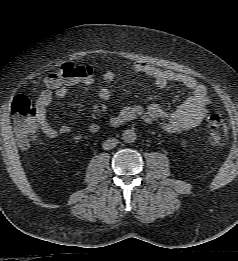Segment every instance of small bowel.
Returning <instances> with one entry per match:
<instances>
[{
    "label": "small bowel",
    "mask_w": 238,
    "mask_h": 261,
    "mask_svg": "<svg viewBox=\"0 0 238 261\" xmlns=\"http://www.w3.org/2000/svg\"><path fill=\"white\" fill-rule=\"evenodd\" d=\"M131 70L137 74L152 77L158 88H164L171 82L179 83L190 92V96L173 112H165L156 103L147 106H126L111 118L112 126L120 127L133 120L140 119L147 124H157L168 134H179L198 126L205 118L207 107L210 104V97L206 87L195 78L187 74L163 70L145 62L133 63ZM117 77L118 73L111 70L103 74L104 85L98 91L100 99L108 100L110 98V85L114 83ZM93 82L92 74L56 85H51L48 82L47 88L40 93L35 104L37 124L43 134L49 138H55L70 133L71 127L67 124H63L59 128H55L50 124L47 118L48 106L53 99L64 98L71 86L78 83L89 86ZM88 130L94 134L100 130V126L93 122L89 124Z\"/></svg>",
    "instance_id": "small-bowel-1"
}]
</instances>
